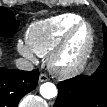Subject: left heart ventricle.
<instances>
[{"label": "left heart ventricle", "instance_id": "b2bd125f", "mask_svg": "<svg viewBox=\"0 0 107 107\" xmlns=\"http://www.w3.org/2000/svg\"><path fill=\"white\" fill-rule=\"evenodd\" d=\"M88 39V30L83 27L74 36L68 51L61 60V64L68 65L74 62L81 54Z\"/></svg>", "mask_w": 107, "mask_h": 107}]
</instances>
